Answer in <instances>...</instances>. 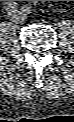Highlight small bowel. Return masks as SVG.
<instances>
[{"instance_id": "obj_1", "label": "small bowel", "mask_w": 74, "mask_h": 122, "mask_svg": "<svg viewBox=\"0 0 74 122\" xmlns=\"http://www.w3.org/2000/svg\"><path fill=\"white\" fill-rule=\"evenodd\" d=\"M34 3H39V2H43V1H33Z\"/></svg>"}]
</instances>
